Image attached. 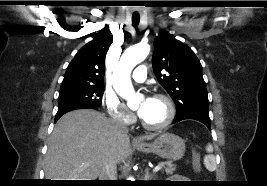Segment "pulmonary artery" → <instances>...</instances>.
I'll list each match as a JSON object with an SVG mask.
<instances>
[{
	"label": "pulmonary artery",
	"instance_id": "1",
	"mask_svg": "<svg viewBox=\"0 0 267 186\" xmlns=\"http://www.w3.org/2000/svg\"><path fill=\"white\" fill-rule=\"evenodd\" d=\"M146 76H147V69L144 65L137 66L132 73V78L138 82L144 81Z\"/></svg>",
	"mask_w": 267,
	"mask_h": 186
}]
</instances>
